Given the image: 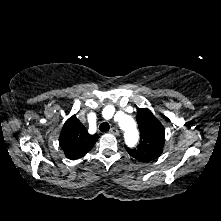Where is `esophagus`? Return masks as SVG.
<instances>
[{
    "label": "esophagus",
    "mask_w": 221,
    "mask_h": 221,
    "mask_svg": "<svg viewBox=\"0 0 221 221\" xmlns=\"http://www.w3.org/2000/svg\"><path fill=\"white\" fill-rule=\"evenodd\" d=\"M110 133L115 135V136L119 135V131L116 128H114V127L110 129Z\"/></svg>",
    "instance_id": "1"
}]
</instances>
